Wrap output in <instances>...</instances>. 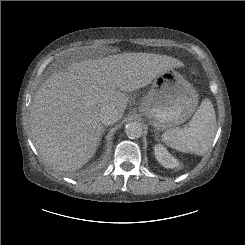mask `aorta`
Listing matches in <instances>:
<instances>
[{"instance_id": "aorta-1", "label": "aorta", "mask_w": 245, "mask_h": 245, "mask_svg": "<svg viewBox=\"0 0 245 245\" xmlns=\"http://www.w3.org/2000/svg\"><path fill=\"white\" fill-rule=\"evenodd\" d=\"M125 134L130 139L140 138L143 134V127L139 122H129L125 127Z\"/></svg>"}]
</instances>
